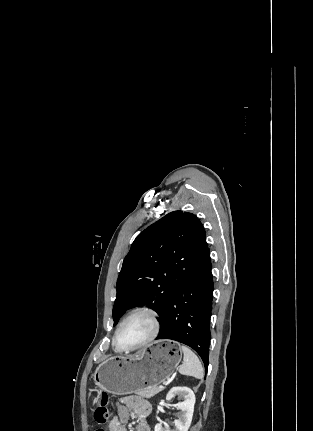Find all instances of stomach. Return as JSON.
I'll return each mask as SVG.
<instances>
[{
	"mask_svg": "<svg viewBox=\"0 0 313 431\" xmlns=\"http://www.w3.org/2000/svg\"><path fill=\"white\" fill-rule=\"evenodd\" d=\"M177 344L160 340L132 356H114L102 362L93 379L102 390L116 395L137 393L167 380L181 361Z\"/></svg>",
	"mask_w": 313,
	"mask_h": 431,
	"instance_id": "1",
	"label": "stomach"
}]
</instances>
